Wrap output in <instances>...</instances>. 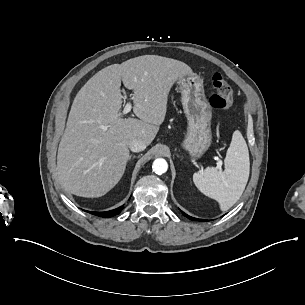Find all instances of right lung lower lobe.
I'll list each match as a JSON object with an SVG mask.
<instances>
[{"instance_id": "obj_1", "label": "right lung lower lobe", "mask_w": 305, "mask_h": 305, "mask_svg": "<svg viewBox=\"0 0 305 305\" xmlns=\"http://www.w3.org/2000/svg\"><path fill=\"white\" fill-rule=\"evenodd\" d=\"M124 206H120L114 210L108 211V212H89L91 214L100 216V217H112L117 214H119L123 210Z\"/></svg>"}]
</instances>
